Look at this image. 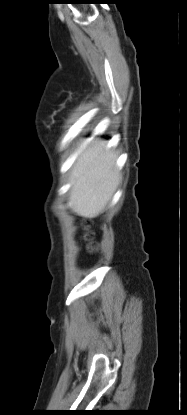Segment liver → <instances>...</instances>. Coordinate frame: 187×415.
Wrapping results in <instances>:
<instances>
[{
	"mask_svg": "<svg viewBox=\"0 0 187 415\" xmlns=\"http://www.w3.org/2000/svg\"><path fill=\"white\" fill-rule=\"evenodd\" d=\"M116 161V153L107 149L104 141H97L83 149L70 178L69 202L74 213L94 218L105 208L121 177Z\"/></svg>",
	"mask_w": 187,
	"mask_h": 415,
	"instance_id": "obj_1",
	"label": "liver"
}]
</instances>
